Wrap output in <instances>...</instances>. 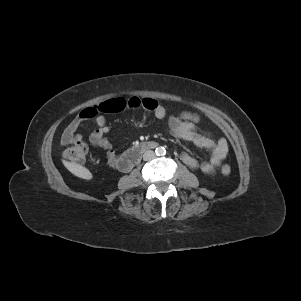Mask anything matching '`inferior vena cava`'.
Listing matches in <instances>:
<instances>
[{"instance_id":"602c4592","label":"inferior vena cava","mask_w":301,"mask_h":301,"mask_svg":"<svg viewBox=\"0 0 301 301\" xmlns=\"http://www.w3.org/2000/svg\"><path fill=\"white\" fill-rule=\"evenodd\" d=\"M155 157H156V154H155V152L152 151V150H148V151H146V152L143 154V159H144L145 161L152 160V159H154Z\"/></svg>"}]
</instances>
